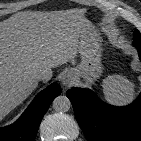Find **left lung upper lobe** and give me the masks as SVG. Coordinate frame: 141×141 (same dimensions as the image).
<instances>
[{
  "label": "left lung upper lobe",
  "mask_w": 141,
  "mask_h": 141,
  "mask_svg": "<svg viewBox=\"0 0 141 141\" xmlns=\"http://www.w3.org/2000/svg\"><path fill=\"white\" fill-rule=\"evenodd\" d=\"M134 41H141V33L138 30H135L134 36H133Z\"/></svg>",
  "instance_id": "left-lung-upper-lobe-1"
}]
</instances>
